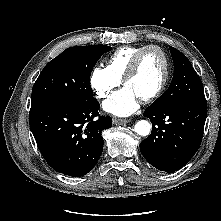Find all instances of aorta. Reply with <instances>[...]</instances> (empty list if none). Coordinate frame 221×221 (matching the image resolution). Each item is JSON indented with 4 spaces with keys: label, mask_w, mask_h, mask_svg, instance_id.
<instances>
[{
    "label": "aorta",
    "mask_w": 221,
    "mask_h": 221,
    "mask_svg": "<svg viewBox=\"0 0 221 221\" xmlns=\"http://www.w3.org/2000/svg\"><path fill=\"white\" fill-rule=\"evenodd\" d=\"M150 130H151V125L146 120H140L134 126V131L140 136L149 135Z\"/></svg>",
    "instance_id": "1"
}]
</instances>
